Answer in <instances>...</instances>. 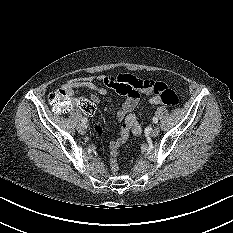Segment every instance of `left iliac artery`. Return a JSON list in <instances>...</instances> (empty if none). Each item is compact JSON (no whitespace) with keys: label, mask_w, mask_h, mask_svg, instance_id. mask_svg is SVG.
Listing matches in <instances>:
<instances>
[{"label":"left iliac artery","mask_w":233,"mask_h":233,"mask_svg":"<svg viewBox=\"0 0 233 233\" xmlns=\"http://www.w3.org/2000/svg\"><path fill=\"white\" fill-rule=\"evenodd\" d=\"M152 121H153V123H158V119L156 118V117H153V119H152Z\"/></svg>","instance_id":"44dca946"}]
</instances>
